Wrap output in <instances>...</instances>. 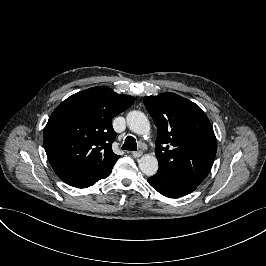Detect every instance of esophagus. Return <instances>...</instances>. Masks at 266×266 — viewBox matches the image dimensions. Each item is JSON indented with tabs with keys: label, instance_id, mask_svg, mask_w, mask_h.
<instances>
[{
	"label": "esophagus",
	"instance_id": "34e87169",
	"mask_svg": "<svg viewBox=\"0 0 266 266\" xmlns=\"http://www.w3.org/2000/svg\"><path fill=\"white\" fill-rule=\"evenodd\" d=\"M142 151H133L132 156L135 158H139L142 155Z\"/></svg>",
	"mask_w": 266,
	"mask_h": 266
}]
</instances>
